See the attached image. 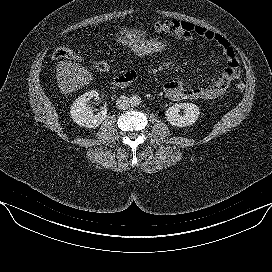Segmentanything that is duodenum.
Returning <instances> with one entry per match:
<instances>
[{
	"label": "duodenum",
	"mask_w": 272,
	"mask_h": 272,
	"mask_svg": "<svg viewBox=\"0 0 272 272\" xmlns=\"http://www.w3.org/2000/svg\"><path fill=\"white\" fill-rule=\"evenodd\" d=\"M132 82V77L122 74L111 80V85L119 88H123Z\"/></svg>",
	"instance_id": "duodenum-1"
}]
</instances>
